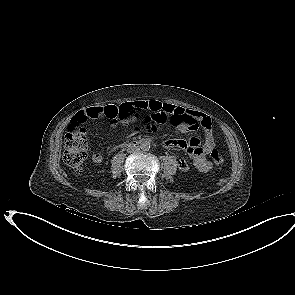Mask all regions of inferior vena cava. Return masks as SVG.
Wrapping results in <instances>:
<instances>
[{
  "instance_id": "602c4592",
  "label": "inferior vena cava",
  "mask_w": 295,
  "mask_h": 295,
  "mask_svg": "<svg viewBox=\"0 0 295 295\" xmlns=\"http://www.w3.org/2000/svg\"><path fill=\"white\" fill-rule=\"evenodd\" d=\"M138 150H139L138 146H131L130 148L127 149V152L132 153V152H136Z\"/></svg>"
}]
</instances>
